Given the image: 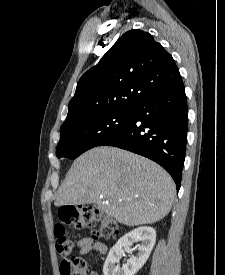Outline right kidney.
Returning a JSON list of instances; mask_svg holds the SVG:
<instances>
[{
  "mask_svg": "<svg viewBox=\"0 0 225 275\" xmlns=\"http://www.w3.org/2000/svg\"><path fill=\"white\" fill-rule=\"evenodd\" d=\"M140 240L136 245L138 253L131 255L127 263L120 267L119 260L123 248L131 246L134 241ZM156 242V231L152 227H138L121 237L110 249L103 266L104 275H135L146 263Z\"/></svg>",
  "mask_w": 225,
  "mask_h": 275,
  "instance_id": "1",
  "label": "right kidney"
}]
</instances>
